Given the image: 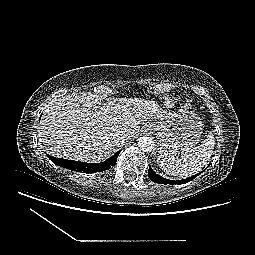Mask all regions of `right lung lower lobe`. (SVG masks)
<instances>
[{
    "instance_id": "obj_1",
    "label": "right lung lower lobe",
    "mask_w": 255,
    "mask_h": 255,
    "mask_svg": "<svg viewBox=\"0 0 255 255\" xmlns=\"http://www.w3.org/2000/svg\"><path fill=\"white\" fill-rule=\"evenodd\" d=\"M120 152L121 150H119L112 157L101 163H85L80 161L56 158L50 155L47 156L54 164L60 167L67 168L76 172L95 173L108 170L109 168H111V166L115 165Z\"/></svg>"
}]
</instances>
